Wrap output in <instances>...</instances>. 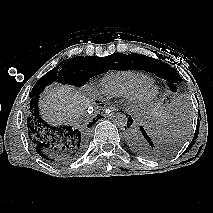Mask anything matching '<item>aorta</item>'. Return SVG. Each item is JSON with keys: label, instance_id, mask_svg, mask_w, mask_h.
Listing matches in <instances>:
<instances>
[{"label": "aorta", "instance_id": "762f6f07", "mask_svg": "<svg viewBox=\"0 0 213 213\" xmlns=\"http://www.w3.org/2000/svg\"><path fill=\"white\" fill-rule=\"evenodd\" d=\"M113 123L121 128H124L127 125L128 118L124 113H116L112 118Z\"/></svg>", "mask_w": 213, "mask_h": 213}]
</instances>
